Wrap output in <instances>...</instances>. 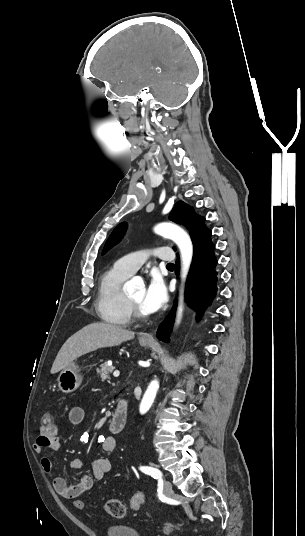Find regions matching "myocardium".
<instances>
[{"mask_svg":"<svg viewBox=\"0 0 305 536\" xmlns=\"http://www.w3.org/2000/svg\"><path fill=\"white\" fill-rule=\"evenodd\" d=\"M125 300H126V303L131 311V313L137 317V318H140V319H144V318H147L148 317V314L143 311L138 305H136L131 299L130 297L125 294Z\"/></svg>","mask_w":305,"mask_h":536,"instance_id":"obj_1","label":"myocardium"}]
</instances>
